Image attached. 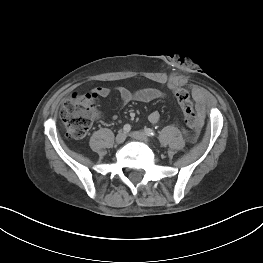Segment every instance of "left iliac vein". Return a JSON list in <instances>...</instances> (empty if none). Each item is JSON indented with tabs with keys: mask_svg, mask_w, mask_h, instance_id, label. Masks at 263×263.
<instances>
[{
	"mask_svg": "<svg viewBox=\"0 0 263 263\" xmlns=\"http://www.w3.org/2000/svg\"><path fill=\"white\" fill-rule=\"evenodd\" d=\"M130 136L138 141H141L143 143H149V138L147 137V135L144 132H140V131H134L130 133Z\"/></svg>",
	"mask_w": 263,
	"mask_h": 263,
	"instance_id": "1",
	"label": "left iliac vein"
}]
</instances>
